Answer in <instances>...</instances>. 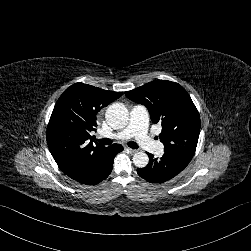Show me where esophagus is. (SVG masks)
<instances>
[{"label":"esophagus","mask_w":251,"mask_h":251,"mask_svg":"<svg viewBox=\"0 0 251 251\" xmlns=\"http://www.w3.org/2000/svg\"><path fill=\"white\" fill-rule=\"evenodd\" d=\"M130 154L136 153L138 150L132 149V148H127Z\"/></svg>","instance_id":"34e87169"}]
</instances>
